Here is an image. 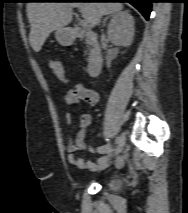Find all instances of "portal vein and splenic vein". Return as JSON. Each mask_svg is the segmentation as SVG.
<instances>
[{
  "label": "portal vein and splenic vein",
  "mask_w": 188,
  "mask_h": 213,
  "mask_svg": "<svg viewBox=\"0 0 188 213\" xmlns=\"http://www.w3.org/2000/svg\"><path fill=\"white\" fill-rule=\"evenodd\" d=\"M80 25L82 26V27H88L89 26V23H88V21L87 20H81L80 21Z\"/></svg>",
  "instance_id": "obj_1"
}]
</instances>
